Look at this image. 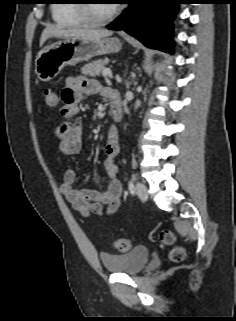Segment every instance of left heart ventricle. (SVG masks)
<instances>
[{
	"label": "left heart ventricle",
	"mask_w": 236,
	"mask_h": 321,
	"mask_svg": "<svg viewBox=\"0 0 236 321\" xmlns=\"http://www.w3.org/2000/svg\"><path fill=\"white\" fill-rule=\"evenodd\" d=\"M91 7L92 13L95 17L103 18L111 12L114 4L109 3L108 0H94Z\"/></svg>",
	"instance_id": "obj_1"
}]
</instances>
